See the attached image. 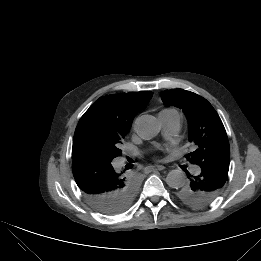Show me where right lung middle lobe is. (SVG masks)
Wrapping results in <instances>:
<instances>
[{
	"label": "right lung middle lobe",
	"instance_id": "right-lung-middle-lobe-1",
	"mask_svg": "<svg viewBox=\"0 0 261 261\" xmlns=\"http://www.w3.org/2000/svg\"><path fill=\"white\" fill-rule=\"evenodd\" d=\"M128 130L107 127L89 118H81L73 139L72 158L87 157L112 162L121 155L119 149ZM138 190V183L129 179L124 188L125 202L130 205Z\"/></svg>",
	"mask_w": 261,
	"mask_h": 261
}]
</instances>
